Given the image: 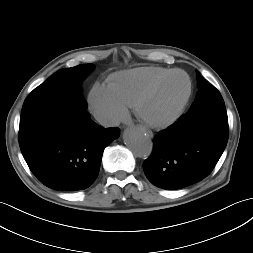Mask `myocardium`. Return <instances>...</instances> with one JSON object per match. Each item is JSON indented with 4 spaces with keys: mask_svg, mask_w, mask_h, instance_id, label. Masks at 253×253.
I'll return each instance as SVG.
<instances>
[{
    "mask_svg": "<svg viewBox=\"0 0 253 253\" xmlns=\"http://www.w3.org/2000/svg\"><path fill=\"white\" fill-rule=\"evenodd\" d=\"M176 74H182L187 79L188 88H187V92H186L184 98L181 100V102L179 103V105L177 106L175 111L169 117L162 119V120H155V119L149 118L144 113V106H145L146 102L166 80H168L170 77H172L173 75H176ZM191 94H192V81H191L190 76L184 70L174 69V70L168 72L167 74L161 76L156 81H154L139 96V98L137 99L135 106H134L135 113H136L137 117L142 122H144L145 124H147L151 127H154V128L168 127V126L172 125L173 123H175L180 118V116L182 115L184 109L186 108V106L190 100Z\"/></svg>",
    "mask_w": 253,
    "mask_h": 253,
    "instance_id": "f54148a6",
    "label": "myocardium"
}]
</instances>
